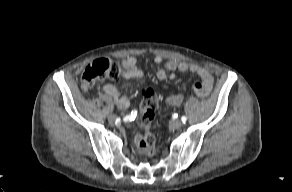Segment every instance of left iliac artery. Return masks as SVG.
Segmentation results:
<instances>
[{
    "instance_id": "obj_1",
    "label": "left iliac artery",
    "mask_w": 292,
    "mask_h": 192,
    "mask_svg": "<svg viewBox=\"0 0 292 192\" xmlns=\"http://www.w3.org/2000/svg\"><path fill=\"white\" fill-rule=\"evenodd\" d=\"M181 121H182V123H185L187 121V118L185 116H182Z\"/></svg>"
}]
</instances>
